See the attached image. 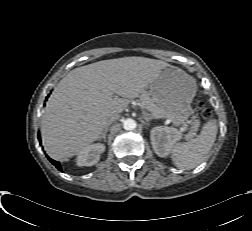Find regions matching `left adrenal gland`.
<instances>
[{"instance_id": "obj_1", "label": "left adrenal gland", "mask_w": 252, "mask_h": 231, "mask_svg": "<svg viewBox=\"0 0 252 231\" xmlns=\"http://www.w3.org/2000/svg\"><path fill=\"white\" fill-rule=\"evenodd\" d=\"M144 118H145V121H146L145 124L147 126L149 125V121L154 119L153 117L149 116V114H145Z\"/></svg>"}]
</instances>
